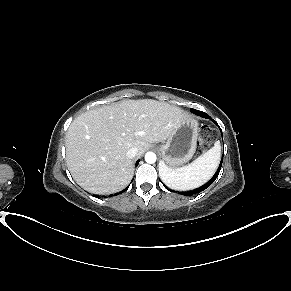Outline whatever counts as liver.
<instances>
[{"label":"liver","instance_id":"obj_1","mask_svg":"<svg viewBox=\"0 0 291 291\" xmlns=\"http://www.w3.org/2000/svg\"><path fill=\"white\" fill-rule=\"evenodd\" d=\"M177 106L152 99L124 100L82 113L66 133V162L74 180L94 194H111L131 181L134 165L152 143L169 138L189 118Z\"/></svg>","mask_w":291,"mask_h":291}]
</instances>
